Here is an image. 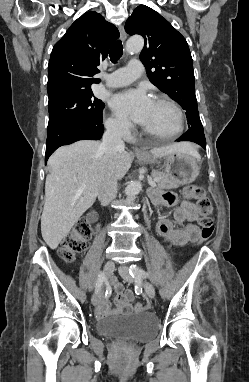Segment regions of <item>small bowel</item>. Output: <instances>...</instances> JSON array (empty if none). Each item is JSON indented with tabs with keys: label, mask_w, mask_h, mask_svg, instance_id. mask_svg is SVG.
Masks as SVG:
<instances>
[{
	"label": "small bowel",
	"mask_w": 249,
	"mask_h": 382,
	"mask_svg": "<svg viewBox=\"0 0 249 382\" xmlns=\"http://www.w3.org/2000/svg\"><path fill=\"white\" fill-rule=\"evenodd\" d=\"M152 201L157 205L175 207L172 218L162 217L157 223V230L164 239L176 245H184L198 238L199 228L195 222L199 217V211L193 203L178 199L172 192L154 193ZM175 224L183 226L176 228ZM112 284L116 291L115 307H110L107 298L102 299L97 303L99 316L131 311L132 292L126 291L123 284L116 278L112 279Z\"/></svg>",
	"instance_id": "1"
}]
</instances>
